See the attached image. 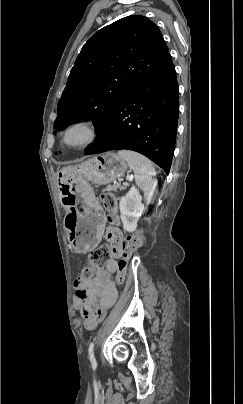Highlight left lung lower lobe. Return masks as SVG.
I'll use <instances>...</instances> for the list:
<instances>
[{"instance_id":"0a47b994","label":"left lung lower lobe","mask_w":243,"mask_h":404,"mask_svg":"<svg viewBox=\"0 0 243 404\" xmlns=\"http://www.w3.org/2000/svg\"><path fill=\"white\" fill-rule=\"evenodd\" d=\"M179 115L178 83L171 56L140 81L97 131L85 154L108 150L137 151L168 174Z\"/></svg>"}]
</instances>
